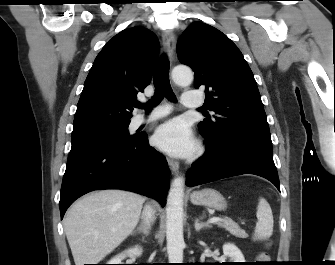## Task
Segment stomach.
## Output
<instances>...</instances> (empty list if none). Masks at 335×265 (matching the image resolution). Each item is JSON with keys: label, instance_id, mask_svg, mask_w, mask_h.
Instances as JSON below:
<instances>
[{"label": "stomach", "instance_id": "obj_1", "mask_svg": "<svg viewBox=\"0 0 335 265\" xmlns=\"http://www.w3.org/2000/svg\"><path fill=\"white\" fill-rule=\"evenodd\" d=\"M190 201L194 205H202L216 210H224L226 208L225 198L213 189L192 192Z\"/></svg>", "mask_w": 335, "mask_h": 265}]
</instances>
